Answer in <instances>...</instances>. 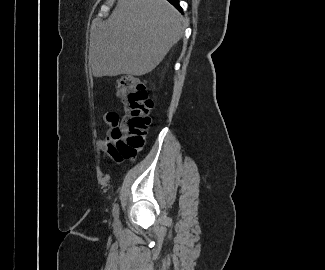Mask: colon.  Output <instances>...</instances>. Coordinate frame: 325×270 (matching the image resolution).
<instances>
[{"mask_svg":"<svg viewBox=\"0 0 325 270\" xmlns=\"http://www.w3.org/2000/svg\"><path fill=\"white\" fill-rule=\"evenodd\" d=\"M116 86L124 115L119 118L110 136L123 157L134 158L144 146L153 101L145 85L134 76L120 77Z\"/></svg>","mask_w":325,"mask_h":270,"instance_id":"obj_1","label":"colon"}]
</instances>
